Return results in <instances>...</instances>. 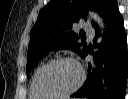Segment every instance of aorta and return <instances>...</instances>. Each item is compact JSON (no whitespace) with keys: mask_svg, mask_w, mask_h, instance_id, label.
I'll use <instances>...</instances> for the list:
<instances>
[{"mask_svg":"<svg viewBox=\"0 0 128 99\" xmlns=\"http://www.w3.org/2000/svg\"><path fill=\"white\" fill-rule=\"evenodd\" d=\"M89 15L94 21L100 26L101 30L103 31L105 28V24L103 19L95 12H89Z\"/></svg>","mask_w":128,"mask_h":99,"instance_id":"obj_1","label":"aorta"}]
</instances>
